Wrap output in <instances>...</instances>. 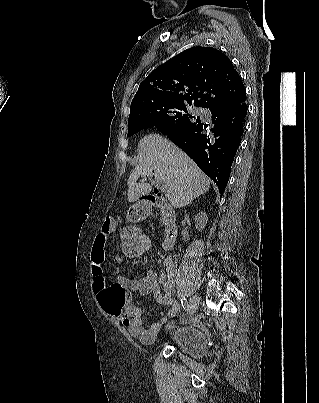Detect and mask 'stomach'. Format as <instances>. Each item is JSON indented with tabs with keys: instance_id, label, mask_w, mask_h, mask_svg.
I'll return each mask as SVG.
<instances>
[{
	"instance_id": "1",
	"label": "stomach",
	"mask_w": 319,
	"mask_h": 403,
	"mask_svg": "<svg viewBox=\"0 0 319 403\" xmlns=\"http://www.w3.org/2000/svg\"><path fill=\"white\" fill-rule=\"evenodd\" d=\"M125 223L126 224H136L137 223V216L135 215V208L132 207L127 211V215L125 216Z\"/></svg>"
}]
</instances>
